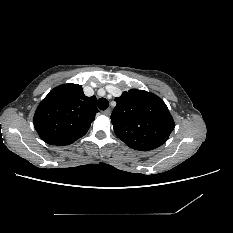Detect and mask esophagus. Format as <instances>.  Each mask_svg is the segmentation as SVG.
<instances>
[{
  "label": "esophagus",
  "instance_id": "obj_1",
  "mask_svg": "<svg viewBox=\"0 0 233 233\" xmlns=\"http://www.w3.org/2000/svg\"><path fill=\"white\" fill-rule=\"evenodd\" d=\"M104 115L109 116L111 114V110L110 109H106L105 111L102 112Z\"/></svg>",
  "mask_w": 233,
  "mask_h": 233
}]
</instances>
